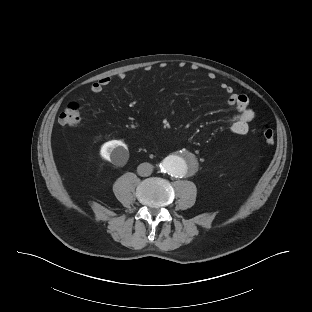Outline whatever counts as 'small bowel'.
<instances>
[{
  "mask_svg": "<svg viewBox=\"0 0 312 312\" xmlns=\"http://www.w3.org/2000/svg\"><path fill=\"white\" fill-rule=\"evenodd\" d=\"M119 79L125 77L124 73L117 75ZM208 77L213 79L215 75L209 73ZM112 77H103L94 82L90 90L93 94H100L103 89L110 84ZM221 89L227 95L228 105L237 111V114L231 119L230 130L236 135H245L249 131V123L255 118V112L249 107V99L246 95L237 94L233 88L225 83L221 84Z\"/></svg>",
  "mask_w": 312,
  "mask_h": 312,
  "instance_id": "1",
  "label": "small bowel"
}]
</instances>
